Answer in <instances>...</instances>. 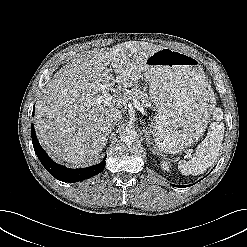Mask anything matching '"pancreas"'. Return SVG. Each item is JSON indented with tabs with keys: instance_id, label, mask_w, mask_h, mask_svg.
<instances>
[{
	"instance_id": "obj_1",
	"label": "pancreas",
	"mask_w": 247,
	"mask_h": 247,
	"mask_svg": "<svg viewBox=\"0 0 247 247\" xmlns=\"http://www.w3.org/2000/svg\"><path fill=\"white\" fill-rule=\"evenodd\" d=\"M130 99H133V100H136L137 102H139L141 107H143V106L146 107L147 105L150 104V99L147 96V94L138 88H134L131 91Z\"/></svg>"
}]
</instances>
